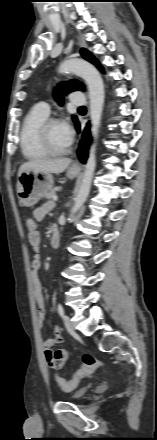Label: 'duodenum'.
Returning a JSON list of instances; mask_svg holds the SVG:
<instances>
[{
	"mask_svg": "<svg viewBox=\"0 0 157 440\" xmlns=\"http://www.w3.org/2000/svg\"><path fill=\"white\" fill-rule=\"evenodd\" d=\"M60 243V233L59 230L56 227H53L52 229V235L50 239V245L52 247L58 246Z\"/></svg>",
	"mask_w": 157,
	"mask_h": 440,
	"instance_id": "410a0bca",
	"label": "duodenum"
}]
</instances>
